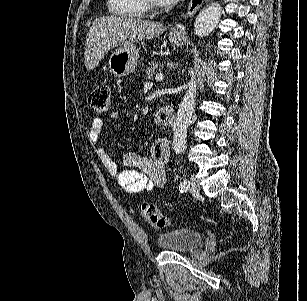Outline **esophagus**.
Masks as SVG:
<instances>
[{
    "instance_id": "esophagus-1",
    "label": "esophagus",
    "mask_w": 307,
    "mask_h": 301,
    "mask_svg": "<svg viewBox=\"0 0 307 301\" xmlns=\"http://www.w3.org/2000/svg\"><path fill=\"white\" fill-rule=\"evenodd\" d=\"M205 0H190L187 7V18H192L199 8L203 5ZM186 34V25L182 22L176 23V25L171 29V35L175 39L182 40Z\"/></svg>"
}]
</instances>
